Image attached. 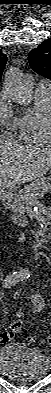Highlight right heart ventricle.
Segmentation results:
<instances>
[{"label": "right heart ventricle", "mask_w": 51, "mask_h": 393, "mask_svg": "<svg viewBox=\"0 0 51 393\" xmlns=\"http://www.w3.org/2000/svg\"><path fill=\"white\" fill-rule=\"evenodd\" d=\"M51 88L38 86L34 107L18 119L17 129L23 141L45 144L51 140Z\"/></svg>", "instance_id": "e07e8e85"}]
</instances>
